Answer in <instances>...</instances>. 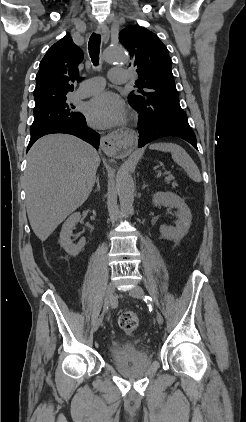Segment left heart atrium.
Segmentation results:
<instances>
[{
  "label": "left heart atrium",
  "instance_id": "obj_1",
  "mask_svg": "<svg viewBox=\"0 0 246 422\" xmlns=\"http://www.w3.org/2000/svg\"><path fill=\"white\" fill-rule=\"evenodd\" d=\"M86 115L92 126L110 128L123 122L125 118V106L116 94L103 92L88 102Z\"/></svg>",
  "mask_w": 246,
  "mask_h": 422
}]
</instances>
